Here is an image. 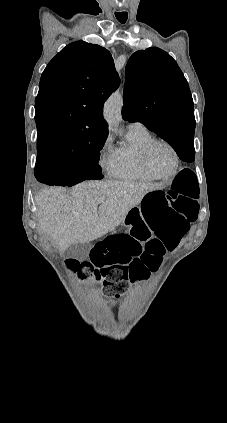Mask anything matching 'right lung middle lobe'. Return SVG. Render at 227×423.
<instances>
[{
    "mask_svg": "<svg viewBox=\"0 0 227 423\" xmlns=\"http://www.w3.org/2000/svg\"><path fill=\"white\" fill-rule=\"evenodd\" d=\"M106 138L107 134L85 135L37 145V161H53L83 180L102 179L98 161Z\"/></svg>",
    "mask_w": 227,
    "mask_h": 423,
    "instance_id": "obj_1",
    "label": "right lung middle lobe"
}]
</instances>
